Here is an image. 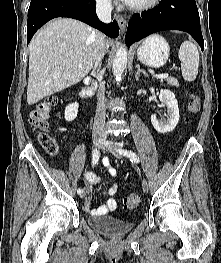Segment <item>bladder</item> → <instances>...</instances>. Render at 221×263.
<instances>
[{
  "instance_id": "obj_1",
  "label": "bladder",
  "mask_w": 221,
  "mask_h": 263,
  "mask_svg": "<svg viewBox=\"0 0 221 263\" xmlns=\"http://www.w3.org/2000/svg\"><path fill=\"white\" fill-rule=\"evenodd\" d=\"M91 229L108 237H120L134 227L133 220H124L113 215H94L87 219Z\"/></svg>"
}]
</instances>
